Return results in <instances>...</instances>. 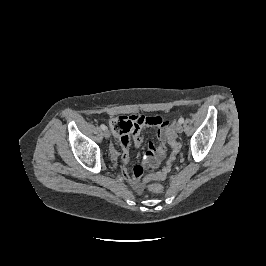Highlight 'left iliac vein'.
<instances>
[{
  "mask_svg": "<svg viewBox=\"0 0 266 266\" xmlns=\"http://www.w3.org/2000/svg\"><path fill=\"white\" fill-rule=\"evenodd\" d=\"M176 132L177 133H182L183 132V126L180 124V123H178L177 125H176Z\"/></svg>",
  "mask_w": 266,
  "mask_h": 266,
  "instance_id": "1",
  "label": "left iliac vein"
}]
</instances>
